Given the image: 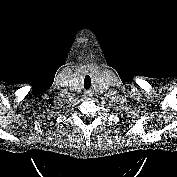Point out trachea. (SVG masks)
I'll list each match as a JSON object with an SVG mask.
<instances>
[{"instance_id": "3493384b", "label": "trachea", "mask_w": 177, "mask_h": 177, "mask_svg": "<svg viewBox=\"0 0 177 177\" xmlns=\"http://www.w3.org/2000/svg\"><path fill=\"white\" fill-rule=\"evenodd\" d=\"M87 77H89V78H90V76H88V75H87V76L85 77V79H86ZM90 81H91V79H90Z\"/></svg>"}]
</instances>
